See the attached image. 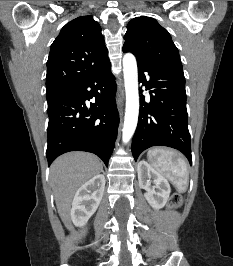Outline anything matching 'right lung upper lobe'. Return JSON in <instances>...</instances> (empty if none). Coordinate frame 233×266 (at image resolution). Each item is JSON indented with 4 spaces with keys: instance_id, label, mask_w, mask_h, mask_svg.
Masks as SVG:
<instances>
[{
    "instance_id": "right-lung-upper-lobe-1",
    "label": "right lung upper lobe",
    "mask_w": 233,
    "mask_h": 266,
    "mask_svg": "<svg viewBox=\"0 0 233 266\" xmlns=\"http://www.w3.org/2000/svg\"><path fill=\"white\" fill-rule=\"evenodd\" d=\"M109 63L101 27L92 16L66 24L51 45L46 91H67Z\"/></svg>"
}]
</instances>
